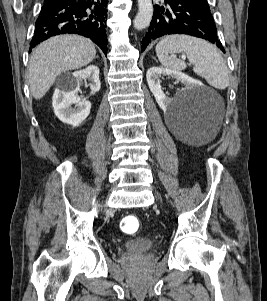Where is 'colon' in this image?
Here are the masks:
<instances>
[{
	"label": "colon",
	"instance_id": "obj_1",
	"mask_svg": "<svg viewBox=\"0 0 267 301\" xmlns=\"http://www.w3.org/2000/svg\"><path fill=\"white\" fill-rule=\"evenodd\" d=\"M141 222L135 215H127L120 222V229L126 234H135L139 231Z\"/></svg>",
	"mask_w": 267,
	"mask_h": 301
}]
</instances>
